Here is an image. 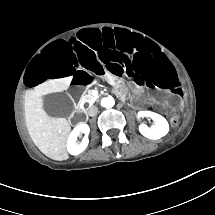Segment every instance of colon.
<instances>
[{
	"label": "colon",
	"instance_id": "1",
	"mask_svg": "<svg viewBox=\"0 0 215 215\" xmlns=\"http://www.w3.org/2000/svg\"><path fill=\"white\" fill-rule=\"evenodd\" d=\"M171 125H172L173 127H177V126H178V119H177L176 117H173V118L171 119Z\"/></svg>",
	"mask_w": 215,
	"mask_h": 215
}]
</instances>
